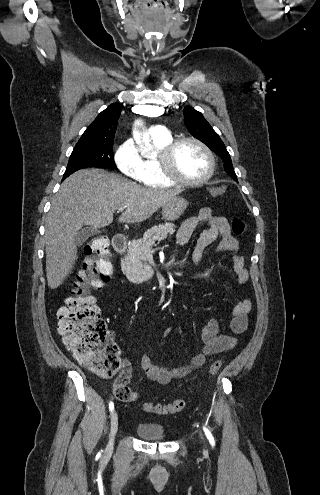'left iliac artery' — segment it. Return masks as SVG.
Returning <instances> with one entry per match:
<instances>
[{
    "label": "left iliac artery",
    "instance_id": "obj_1",
    "mask_svg": "<svg viewBox=\"0 0 320 495\" xmlns=\"http://www.w3.org/2000/svg\"><path fill=\"white\" fill-rule=\"evenodd\" d=\"M203 430H204L205 435H206L207 439L209 440L210 444H211L212 446H214V445H215V441H214V437H213V435L211 434V432H210V431L208 430V428H206L205 426H203Z\"/></svg>",
    "mask_w": 320,
    "mask_h": 495
}]
</instances>
